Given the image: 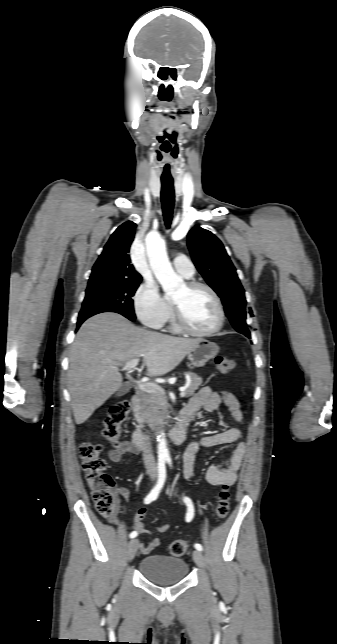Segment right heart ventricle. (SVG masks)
I'll return each mask as SVG.
<instances>
[{
  "label": "right heart ventricle",
  "mask_w": 337,
  "mask_h": 644,
  "mask_svg": "<svg viewBox=\"0 0 337 644\" xmlns=\"http://www.w3.org/2000/svg\"><path fill=\"white\" fill-rule=\"evenodd\" d=\"M167 321L170 323L169 329H170L172 332H177V331H178V329L176 328V326H175V324H174V322H173L171 309H170V313H169V316H168V318H167L166 322H167Z\"/></svg>",
  "instance_id": "obj_1"
}]
</instances>
